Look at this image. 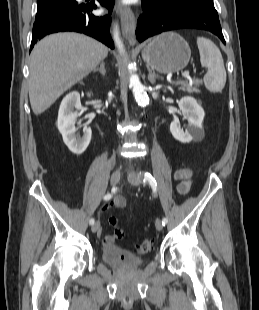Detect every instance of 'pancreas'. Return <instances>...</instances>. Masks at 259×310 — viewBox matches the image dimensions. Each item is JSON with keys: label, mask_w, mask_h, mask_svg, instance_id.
<instances>
[{"label": "pancreas", "mask_w": 259, "mask_h": 310, "mask_svg": "<svg viewBox=\"0 0 259 310\" xmlns=\"http://www.w3.org/2000/svg\"><path fill=\"white\" fill-rule=\"evenodd\" d=\"M202 84L201 79H193L191 82L181 81L179 83L180 89L188 93H200L199 86Z\"/></svg>", "instance_id": "obj_1"}]
</instances>
